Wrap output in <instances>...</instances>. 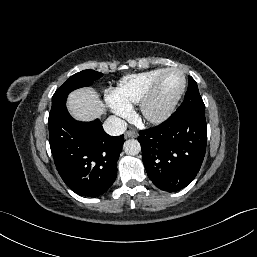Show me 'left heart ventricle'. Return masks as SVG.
<instances>
[{"label":"left heart ventricle","instance_id":"b2bd125f","mask_svg":"<svg viewBox=\"0 0 257 257\" xmlns=\"http://www.w3.org/2000/svg\"><path fill=\"white\" fill-rule=\"evenodd\" d=\"M182 76L178 72H170L163 78L156 95L152 110L158 111L170 103L180 92Z\"/></svg>","mask_w":257,"mask_h":257}]
</instances>
